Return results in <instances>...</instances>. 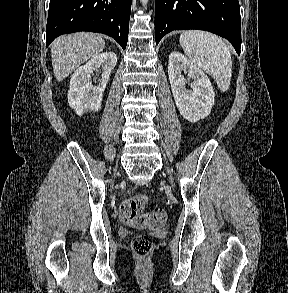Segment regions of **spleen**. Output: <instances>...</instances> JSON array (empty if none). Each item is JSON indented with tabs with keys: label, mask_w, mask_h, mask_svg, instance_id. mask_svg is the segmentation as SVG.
Here are the masks:
<instances>
[{
	"label": "spleen",
	"mask_w": 288,
	"mask_h": 293,
	"mask_svg": "<svg viewBox=\"0 0 288 293\" xmlns=\"http://www.w3.org/2000/svg\"><path fill=\"white\" fill-rule=\"evenodd\" d=\"M179 41L192 63L211 75L221 91H227L232 60L226 43L212 33L198 30L182 32Z\"/></svg>",
	"instance_id": "spleen-1"
}]
</instances>
